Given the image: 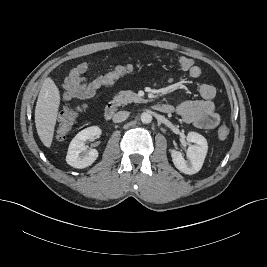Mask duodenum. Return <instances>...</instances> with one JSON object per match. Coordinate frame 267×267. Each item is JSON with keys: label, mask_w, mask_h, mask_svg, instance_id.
<instances>
[{"label": "duodenum", "mask_w": 267, "mask_h": 267, "mask_svg": "<svg viewBox=\"0 0 267 267\" xmlns=\"http://www.w3.org/2000/svg\"><path fill=\"white\" fill-rule=\"evenodd\" d=\"M155 109L162 113H170L173 107L169 104L157 103ZM118 110V103L116 101L109 102L104 109V116L106 119H111Z\"/></svg>", "instance_id": "obj_1"}]
</instances>
